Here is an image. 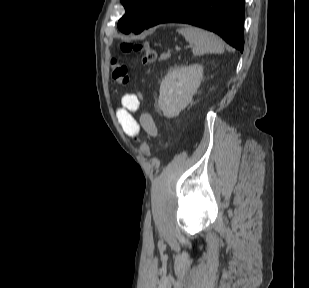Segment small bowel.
Returning <instances> with one entry per match:
<instances>
[{
  "label": "small bowel",
  "mask_w": 309,
  "mask_h": 288,
  "mask_svg": "<svg viewBox=\"0 0 309 288\" xmlns=\"http://www.w3.org/2000/svg\"><path fill=\"white\" fill-rule=\"evenodd\" d=\"M140 105V98L136 94H125L121 99V107L117 110V117L124 133L130 137L136 136L143 129L146 133L156 136L157 127L153 118L146 113L136 120L132 113L136 112Z\"/></svg>",
  "instance_id": "obj_1"
}]
</instances>
